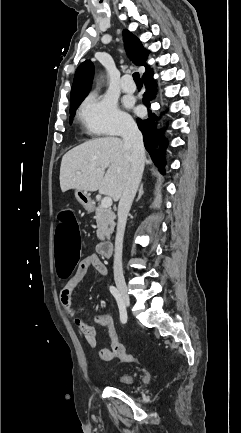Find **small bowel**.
Instances as JSON below:
<instances>
[{"label":"small bowel","instance_id":"obj_1","mask_svg":"<svg viewBox=\"0 0 241 433\" xmlns=\"http://www.w3.org/2000/svg\"><path fill=\"white\" fill-rule=\"evenodd\" d=\"M95 269L100 275L106 276L108 273L107 267L96 254L86 255L75 272L65 281L61 293L60 301L68 316L73 318V322L77 329L83 334L86 342L92 348L97 346V335L95 328L76 315V309L72 302V294L78 284L83 280L89 269ZM99 326L107 328L110 337L111 346L114 342L119 341L118 334L114 327L113 318L109 314H101L95 319ZM100 357L104 361H110L114 358L112 348H103L100 350Z\"/></svg>","mask_w":241,"mask_h":433}]
</instances>
